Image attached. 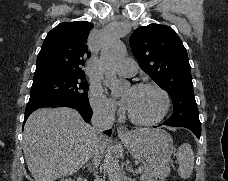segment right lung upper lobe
Returning a JSON list of instances; mask_svg holds the SVG:
<instances>
[{
  "label": "right lung upper lobe",
  "instance_id": "1",
  "mask_svg": "<svg viewBox=\"0 0 228 181\" xmlns=\"http://www.w3.org/2000/svg\"><path fill=\"white\" fill-rule=\"evenodd\" d=\"M92 27L90 22L75 21L52 29L38 54L34 78L53 74L85 76L82 66L90 57L86 43Z\"/></svg>",
  "mask_w": 228,
  "mask_h": 181
}]
</instances>
